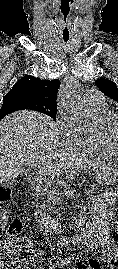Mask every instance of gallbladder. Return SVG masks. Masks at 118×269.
<instances>
[{
    "label": "gallbladder",
    "instance_id": "gallbladder-1",
    "mask_svg": "<svg viewBox=\"0 0 118 269\" xmlns=\"http://www.w3.org/2000/svg\"><path fill=\"white\" fill-rule=\"evenodd\" d=\"M23 172H24L26 175L29 174V170L26 169V168H23Z\"/></svg>",
    "mask_w": 118,
    "mask_h": 269
}]
</instances>
